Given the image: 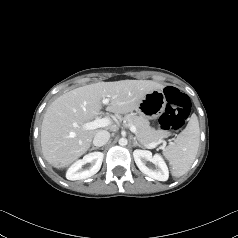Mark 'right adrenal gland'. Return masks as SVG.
I'll return each instance as SVG.
<instances>
[{
    "label": "right adrenal gland",
    "mask_w": 238,
    "mask_h": 238,
    "mask_svg": "<svg viewBox=\"0 0 238 238\" xmlns=\"http://www.w3.org/2000/svg\"><path fill=\"white\" fill-rule=\"evenodd\" d=\"M99 149L98 147H92L91 150Z\"/></svg>",
    "instance_id": "2a0ac1e0"
}]
</instances>
